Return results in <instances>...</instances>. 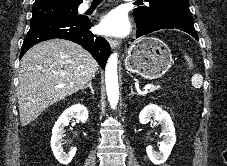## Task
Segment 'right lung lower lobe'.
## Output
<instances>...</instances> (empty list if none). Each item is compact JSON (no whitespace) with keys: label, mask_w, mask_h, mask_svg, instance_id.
<instances>
[{"label":"right lung lower lobe","mask_w":227,"mask_h":166,"mask_svg":"<svg viewBox=\"0 0 227 166\" xmlns=\"http://www.w3.org/2000/svg\"><path fill=\"white\" fill-rule=\"evenodd\" d=\"M91 26L90 20L84 16L79 18H49L30 24V30L22 45L20 58L35 44L53 38H60L81 45L90 52L104 69L111 49L103 37H97L91 33Z\"/></svg>","instance_id":"obj_1"}]
</instances>
